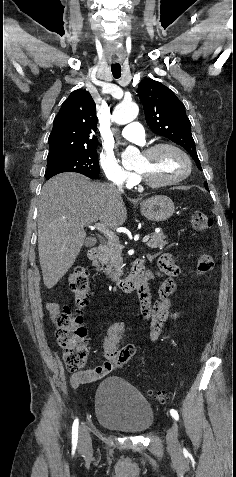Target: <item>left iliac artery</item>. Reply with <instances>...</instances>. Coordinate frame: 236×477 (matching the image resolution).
<instances>
[{
	"instance_id": "obj_1",
	"label": "left iliac artery",
	"mask_w": 236,
	"mask_h": 477,
	"mask_svg": "<svg viewBox=\"0 0 236 477\" xmlns=\"http://www.w3.org/2000/svg\"><path fill=\"white\" fill-rule=\"evenodd\" d=\"M170 414L175 420H179V415H178V412L176 410L171 409Z\"/></svg>"
}]
</instances>
